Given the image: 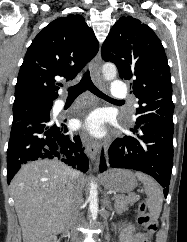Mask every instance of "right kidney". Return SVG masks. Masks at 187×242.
<instances>
[{
    "label": "right kidney",
    "instance_id": "obj_1",
    "mask_svg": "<svg viewBox=\"0 0 187 242\" xmlns=\"http://www.w3.org/2000/svg\"><path fill=\"white\" fill-rule=\"evenodd\" d=\"M44 242H58V240L56 236H50Z\"/></svg>",
    "mask_w": 187,
    "mask_h": 242
}]
</instances>
